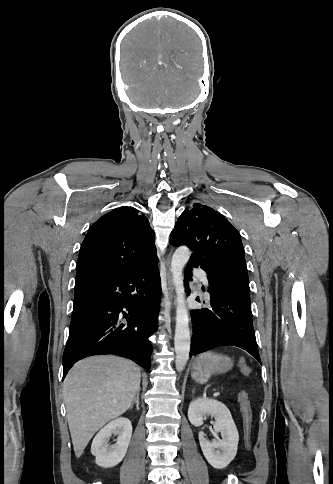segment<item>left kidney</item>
I'll return each instance as SVG.
<instances>
[{
  "mask_svg": "<svg viewBox=\"0 0 333 484\" xmlns=\"http://www.w3.org/2000/svg\"><path fill=\"white\" fill-rule=\"evenodd\" d=\"M206 415L215 418L214 429L221 433L222 440L210 442L201 431L198 434L199 443L209 464L216 469H223L236 456L239 434L229 409L220 401L197 398L190 403L188 418L191 424L201 426Z\"/></svg>",
  "mask_w": 333,
  "mask_h": 484,
  "instance_id": "left-kidney-1",
  "label": "left kidney"
}]
</instances>
